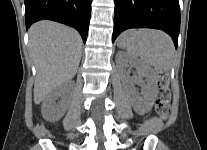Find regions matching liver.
<instances>
[{"mask_svg": "<svg viewBox=\"0 0 207 150\" xmlns=\"http://www.w3.org/2000/svg\"><path fill=\"white\" fill-rule=\"evenodd\" d=\"M29 47L37 72L34 103L39 104L75 76L82 55V40L72 28L40 21L29 29Z\"/></svg>", "mask_w": 207, "mask_h": 150, "instance_id": "liver-1", "label": "liver"}]
</instances>
